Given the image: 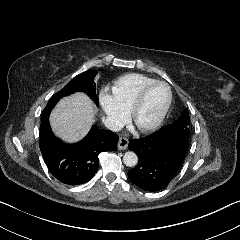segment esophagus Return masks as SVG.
Wrapping results in <instances>:
<instances>
[{
  "label": "esophagus",
  "instance_id": "1",
  "mask_svg": "<svg viewBox=\"0 0 240 240\" xmlns=\"http://www.w3.org/2000/svg\"><path fill=\"white\" fill-rule=\"evenodd\" d=\"M129 140L126 137H120L118 141V148L119 150H125L127 149Z\"/></svg>",
  "mask_w": 240,
  "mask_h": 240
}]
</instances>
